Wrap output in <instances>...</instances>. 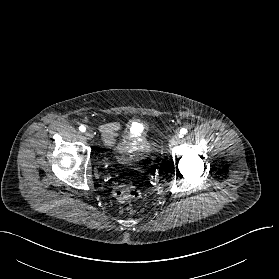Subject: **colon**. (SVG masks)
I'll use <instances>...</instances> for the list:
<instances>
[{"instance_id":"1","label":"colon","mask_w":279,"mask_h":279,"mask_svg":"<svg viewBox=\"0 0 279 279\" xmlns=\"http://www.w3.org/2000/svg\"><path fill=\"white\" fill-rule=\"evenodd\" d=\"M152 149L155 151L157 149V145L152 144ZM155 159V158H153ZM141 195V191L134 185L131 184H121L116 186L113 189V196L119 202H129L139 198Z\"/></svg>"}]
</instances>
